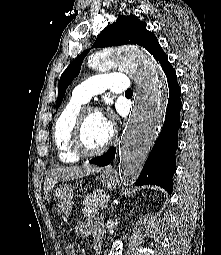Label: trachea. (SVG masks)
<instances>
[{"label": "trachea", "instance_id": "3493384b", "mask_svg": "<svg viewBox=\"0 0 221 255\" xmlns=\"http://www.w3.org/2000/svg\"><path fill=\"white\" fill-rule=\"evenodd\" d=\"M125 94H132V91L130 90V89H128L126 92H125Z\"/></svg>", "mask_w": 221, "mask_h": 255}]
</instances>
